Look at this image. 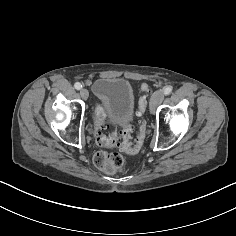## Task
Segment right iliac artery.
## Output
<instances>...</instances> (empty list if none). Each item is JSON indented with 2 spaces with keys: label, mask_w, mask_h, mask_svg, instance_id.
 <instances>
[{
  "label": "right iliac artery",
  "mask_w": 236,
  "mask_h": 236,
  "mask_svg": "<svg viewBox=\"0 0 236 236\" xmlns=\"http://www.w3.org/2000/svg\"><path fill=\"white\" fill-rule=\"evenodd\" d=\"M74 87L75 89L80 90L82 88V85L79 82H77L75 83Z\"/></svg>",
  "instance_id": "1"
}]
</instances>
